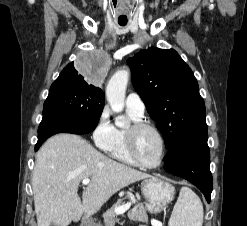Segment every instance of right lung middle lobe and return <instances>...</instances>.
Wrapping results in <instances>:
<instances>
[{"mask_svg":"<svg viewBox=\"0 0 247 226\" xmlns=\"http://www.w3.org/2000/svg\"><path fill=\"white\" fill-rule=\"evenodd\" d=\"M72 75L60 76L51 85L43 106V118L58 116L78 123L98 124L104 107V96L90 83L77 81Z\"/></svg>","mask_w":247,"mask_h":226,"instance_id":"dd1d6c3e","label":"right lung middle lobe"}]
</instances>
